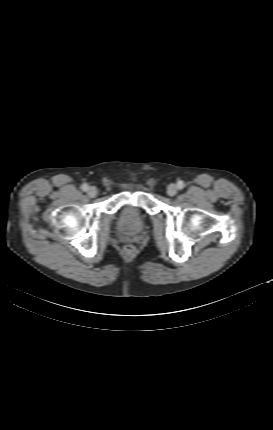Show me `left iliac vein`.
<instances>
[{"mask_svg":"<svg viewBox=\"0 0 273 430\" xmlns=\"http://www.w3.org/2000/svg\"><path fill=\"white\" fill-rule=\"evenodd\" d=\"M178 188L174 184H170L167 188V193L169 196H175L177 194Z\"/></svg>","mask_w":273,"mask_h":430,"instance_id":"left-iliac-vein-1","label":"left iliac vein"}]
</instances>
